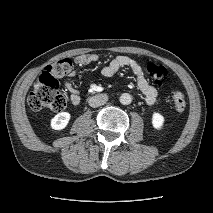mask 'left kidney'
<instances>
[{
	"label": "left kidney",
	"instance_id": "1",
	"mask_svg": "<svg viewBox=\"0 0 213 213\" xmlns=\"http://www.w3.org/2000/svg\"><path fill=\"white\" fill-rule=\"evenodd\" d=\"M164 123V117L160 113H153L152 125L155 129H161Z\"/></svg>",
	"mask_w": 213,
	"mask_h": 213
}]
</instances>
